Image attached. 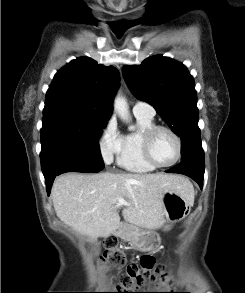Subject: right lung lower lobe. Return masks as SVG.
<instances>
[{
	"label": "right lung lower lobe",
	"instance_id": "obj_1",
	"mask_svg": "<svg viewBox=\"0 0 245 293\" xmlns=\"http://www.w3.org/2000/svg\"><path fill=\"white\" fill-rule=\"evenodd\" d=\"M102 169L97 167H89V166H82V165H67L60 168L57 172L54 174L48 176L45 178L46 186H47V192L50 194V190L53 184V181L55 177L59 174H62L64 172H70V171H76V172H86V173H92V172H99Z\"/></svg>",
	"mask_w": 245,
	"mask_h": 293
}]
</instances>
